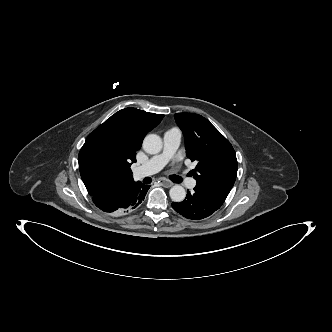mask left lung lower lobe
<instances>
[{
  "instance_id": "left-lung-lower-lobe-1",
  "label": "left lung lower lobe",
  "mask_w": 332,
  "mask_h": 332,
  "mask_svg": "<svg viewBox=\"0 0 332 332\" xmlns=\"http://www.w3.org/2000/svg\"><path fill=\"white\" fill-rule=\"evenodd\" d=\"M172 207L187 219L200 220L212 215L221 207V204L201 191L194 189L193 193L187 192L184 201L180 203L173 202Z\"/></svg>"
}]
</instances>
